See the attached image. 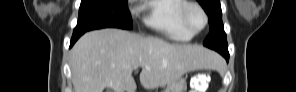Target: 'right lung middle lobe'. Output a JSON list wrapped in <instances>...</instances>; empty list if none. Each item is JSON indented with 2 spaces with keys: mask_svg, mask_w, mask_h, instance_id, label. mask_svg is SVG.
<instances>
[{
  "mask_svg": "<svg viewBox=\"0 0 296 92\" xmlns=\"http://www.w3.org/2000/svg\"><path fill=\"white\" fill-rule=\"evenodd\" d=\"M105 27L132 29L127 0H82L75 34Z\"/></svg>",
  "mask_w": 296,
  "mask_h": 92,
  "instance_id": "right-lung-middle-lobe-1",
  "label": "right lung middle lobe"
}]
</instances>
